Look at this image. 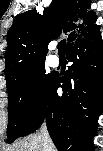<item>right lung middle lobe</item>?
Masks as SVG:
<instances>
[{
	"mask_svg": "<svg viewBox=\"0 0 103 151\" xmlns=\"http://www.w3.org/2000/svg\"><path fill=\"white\" fill-rule=\"evenodd\" d=\"M54 76L53 72L46 74L44 63H40L26 69L7 87L9 144L21 137L35 117Z\"/></svg>",
	"mask_w": 103,
	"mask_h": 151,
	"instance_id": "1",
	"label": "right lung middle lobe"
}]
</instances>
